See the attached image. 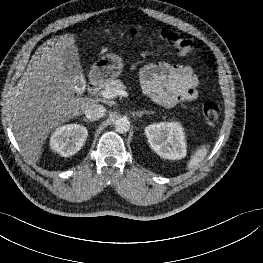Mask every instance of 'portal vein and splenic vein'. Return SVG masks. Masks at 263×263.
<instances>
[{"label":"portal vein and splenic vein","mask_w":263,"mask_h":263,"mask_svg":"<svg viewBox=\"0 0 263 263\" xmlns=\"http://www.w3.org/2000/svg\"><path fill=\"white\" fill-rule=\"evenodd\" d=\"M101 94L105 99H113L118 95L123 97L128 96V93L125 90H120V89H106L102 91Z\"/></svg>","instance_id":"portal-vein-and-splenic-vein-1"}]
</instances>
